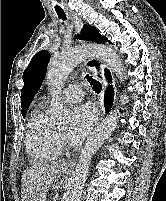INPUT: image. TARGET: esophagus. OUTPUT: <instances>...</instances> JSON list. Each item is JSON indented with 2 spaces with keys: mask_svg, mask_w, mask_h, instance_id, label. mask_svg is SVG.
Wrapping results in <instances>:
<instances>
[{
  "mask_svg": "<svg viewBox=\"0 0 166 201\" xmlns=\"http://www.w3.org/2000/svg\"><path fill=\"white\" fill-rule=\"evenodd\" d=\"M67 13L71 17V19L74 22L75 25V32L79 33L81 30V27L83 25L82 19L72 10L67 9ZM85 65L88 68V70L91 72V74L102 84L103 90L102 93L100 94L97 105L100 109L101 112V120L103 119L105 115L104 111V104H103V98L104 94L106 91V84L103 79V68H102V62L99 59L96 58H86L85 59ZM76 163V159H70L66 164L67 165H72Z\"/></svg>",
  "mask_w": 166,
  "mask_h": 201,
  "instance_id": "34e87169",
  "label": "esophagus"
}]
</instances>
